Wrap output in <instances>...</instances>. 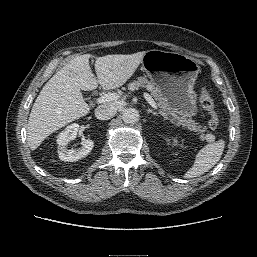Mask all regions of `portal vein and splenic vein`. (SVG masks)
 Listing matches in <instances>:
<instances>
[{
    "mask_svg": "<svg viewBox=\"0 0 257 257\" xmlns=\"http://www.w3.org/2000/svg\"><path fill=\"white\" fill-rule=\"evenodd\" d=\"M119 98V95L117 93H107L102 95L97 99L98 104L106 103V102H111L114 100H117ZM144 98L146 101L151 105L152 108L157 109V104L155 103L154 99L148 94L144 93Z\"/></svg>",
    "mask_w": 257,
    "mask_h": 257,
    "instance_id": "obj_1",
    "label": "portal vein and splenic vein"
}]
</instances>
